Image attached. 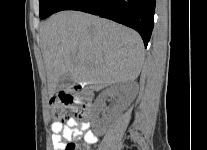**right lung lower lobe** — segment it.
<instances>
[{
	"label": "right lung lower lobe",
	"mask_w": 207,
	"mask_h": 150,
	"mask_svg": "<svg viewBox=\"0 0 207 150\" xmlns=\"http://www.w3.org/2000/svg\"><path fill=\"white\" fill-rule=\"evenodd\" d=\"M79 10L129 26L147 46L154 22L155 0H65L56 10Z\"/></svg>",
	"instance_id": "98d812e1"
}]
</instances>
